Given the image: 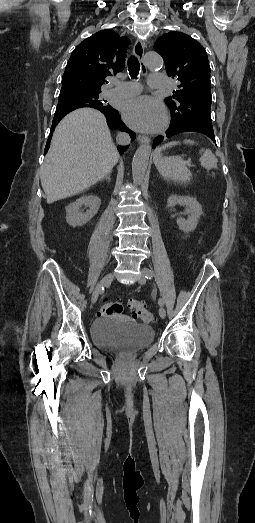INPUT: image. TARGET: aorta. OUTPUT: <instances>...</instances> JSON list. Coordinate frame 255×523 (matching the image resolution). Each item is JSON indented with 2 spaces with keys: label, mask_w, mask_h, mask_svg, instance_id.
Instances as JSON below:
<instances>
[{
  "label": "aorta",
  "mask_w": 255,
  "mask_h": 523,
  "mask_svg": "<svg viewBox=\"0 0 255 523\" xmlns=\"http://www.w3.org/2000/svg\"><path fill=\"white\" fill-rule=\"evenodd\" d=\"M144 62L150 70L160 69L163 66V59L156 52L146 53ZM151 150L152 146L150 143H144L134 154L132 160V177L135 184H141L144 180Z\"/></svg>",
  "instance_id": "1"
}]
</instances>
